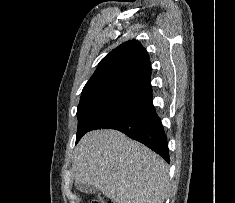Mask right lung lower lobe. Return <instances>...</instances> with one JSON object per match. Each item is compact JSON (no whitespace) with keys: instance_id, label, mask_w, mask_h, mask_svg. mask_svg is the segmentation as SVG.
<instances>
[{"instance_id":"98d812e1","label":"right lung lower lobe","mask_w":235,"mask_h":203,"mask_svg":"<svg viewBox=\"0 0 235 203\" xmlns=\"http://www.w3.org/2000/svg\"><path fill=\"white\" fill-rule=\"evenodd\" d=\"M116 129L137 140L170 162L164 128L152 102V89L99 121L91 130Z\"/></svg>"}]
</instances>
